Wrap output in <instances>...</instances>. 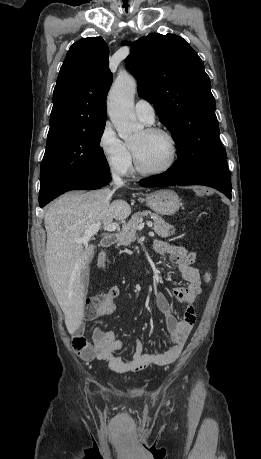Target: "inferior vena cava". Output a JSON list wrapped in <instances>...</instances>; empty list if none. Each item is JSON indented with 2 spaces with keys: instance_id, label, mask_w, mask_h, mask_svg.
<instances>
[{
  "instance_id": "602c4592",
  "label": "inferior vena cava",
  "mask_w": 261,
  "mask_h": 459,
  "mask_svg": "<svg viewBox=\"0 0 261 459\" xmlns=\"http://www.w3.org/2000/svg\"><path fill=\"white\" fill-rule=\"evenodd\" d=\"M113 182L116 185V187L122 186L124 184L123 180L120 178V176L117 173L112 174Z\"/></svg>"
}]
</instances>
